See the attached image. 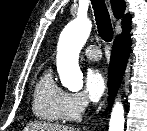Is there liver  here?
Listing matches in <instances>:
<instances>
[{
	"mask_svg": "<svg viewBox=\"0 0 147 131\" xmlns=\"http://www.w3.org/2000/svg\"><path fill=\"white\" fill-rule=\"evenodd\" d=\"M23 131H76L75 128L46 122L29 123Z\"/></svg>",
	"mask_w": 147,
	"mask_h": 131,
	"instance_id": "obj_1",
	"label": "liver"
}]
</instances>
